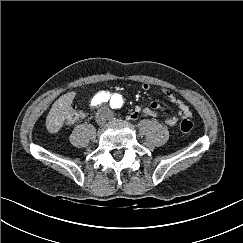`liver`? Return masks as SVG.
<instances>
[{
	"instance_id": "6515ba94",
	"label": "liver",
	"mask_w": 243,
	"mask_h": 243,
	"mask_svg": "<svg viewBox=\"0 0 243 243\" xmlns=\"http://www.w3.org/2000/svg\"><path fill=\"white\" fill-rule=\"evenodd\" d=\"M74 97L75 92H68L53 103L46 118V128L50 133H57L63 126Z\"/></svg>"
}]
</instances>
